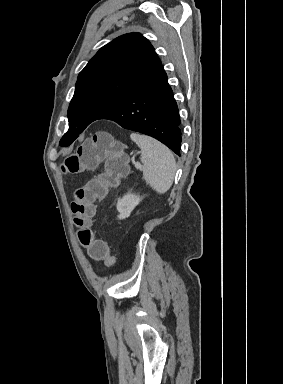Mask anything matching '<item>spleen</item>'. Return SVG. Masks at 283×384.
<instances>
[{"label": "spleen", "mask_w": 283, "mask_h": 384, "mask_svg": "<svg viewBox=\"0 0 283 384\" xmlns=\"http://www.w3.org/2000/svg\"><path fill=\"white\" fill-rule=\"evenodd\" d=\"M130 138L141 150L140 160L146 184L157 194H165L170 190L176 172V162L171 150L149 136L131 134Z\"/></svg>", "instance_id": "3e777b00"}]
</instances>
